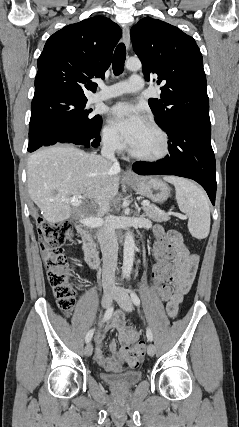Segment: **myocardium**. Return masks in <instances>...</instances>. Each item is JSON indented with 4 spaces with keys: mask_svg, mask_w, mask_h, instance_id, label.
I'll list each match as a JSON object with an SVG mask.
<instances>
[{
    "mask_svg": "<svg viewBox=\"0 0 239 427\" xmlns=\"http://www.w3.org/2000/svg\"><path fill=\"white\" fill-rule=\"evenodd\" d=\"M146 122L160 135L162 139V148L159 153L155 155H144L135 152L129 146L127 148L128 154L139 161L144 162H158L166 158L170 152V139L168 133L152 118H147Z\"/></svg>",
    "mask_w": 239,
    "mask_h": 427,
    "instance_id": "1",
    "label": "myocardium"
}]
</instances>
